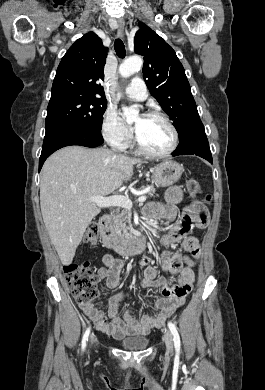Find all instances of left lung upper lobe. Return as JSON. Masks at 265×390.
<instances>
[{"label": "left lung upper lobe", "instance_id": "left-lung-upper-lobe-1", "mask_svg": "<svg viewBox=\"0 0 265 390\" xmlns=\"http://www.w3.org/2000/svg\"><path fill=\"white\" fill-rule=\"evenodd\" d=\"M134 38V50L144 56L143 77L151 95L171 117L186 145L203 128L185 70L175 51L143 23Z\"/></svg>", "mask_w": 265, "mask_h": 390}]
</instances>
